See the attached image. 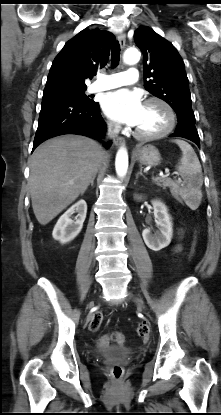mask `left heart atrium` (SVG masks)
Listing matches in <instances>:
<instances>
[{"label":"left heart atrium","mask_w":221,"mask_h":415,"mask_svg":"<svg viewBox=\"0 0 221 415\" xmlns=\"http://www.w3.org/2000/svg\"><path fill=\"white\" fill-rule=\"evenodd\" d=\"M143 106L141 95L127 89L110 92L102 101L103 110L109 118L129 126L138 124Z\"/></svg>","instance_id":"39dd6f15"}]
</instances>
